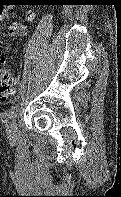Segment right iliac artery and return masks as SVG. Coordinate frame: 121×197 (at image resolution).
Here are the masks:
<instances>
[{
  "mask_svg": "<svg viewBox=\"0 0 121 197\" xmlns=\"http://www.w3.org/2000/svg\"><path fill=\"white\" fill-rule=\"evenodd\" d=\"M17 111H18V106H17V105L12 106V108H11L10 111H9V118H10V119L14 118V116H15L16 113H17Z\"/></svg>",
  "mask_w": 121,
  "mask_h": 197,
  "instance_id": "1",
  "label": "right iliac artery"
}]
</instances>
